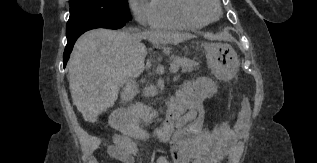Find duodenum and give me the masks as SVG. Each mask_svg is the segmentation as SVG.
<instances>
[{
	"label": "duodenum",
	"instance_id": "duodenum-1",
	"mask_svg": "<svg viewBox=\"0 0 317 163\" xmlns=\"http://www.w3.org/2000/svg\"><path fill=\"white\" fill-rule=\"evenodd\" d=\"M177 115L173 112H168L162 126L152 134H148L143 128L133 123L127 116L125 109H118L110 116L111 127L123 135L118 144L112 146L117 151L124 143L130 141V138L135 139H153L157 142H166L173 134L174 125Z\"/></svg>",
	"mask_w": 317,
	"mask_h": 163
}]
</instances>
